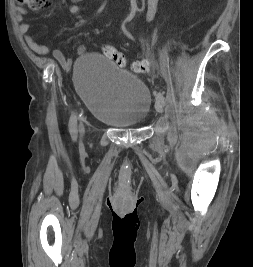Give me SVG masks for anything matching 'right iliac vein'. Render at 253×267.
I'll return each instance as SVG.
<instances>
[{
	"instance_id": "obj_1",
	"label": "right iliac vein",
	"mask_w": 253,
	"mask_h": 267,
	"mask_svg": "<svg viewBox=\"0 0 253 267\" xmlns=\"http://www.w3.org/2000/svg\"><path fill=\"white\" fill-rule=\"evenodd\" d=\"M84 133H85V130H84L83 125H80V134H81V136H83Z\"/></svg>"
}]
</instances>
